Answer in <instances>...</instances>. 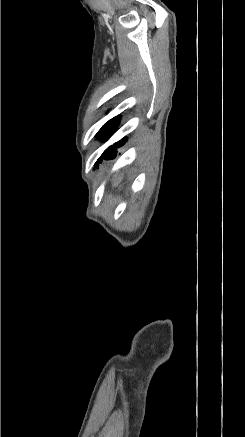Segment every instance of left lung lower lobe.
<instances>
[{
  "instance_id": "1",
  "label": "left lung lower lobe",
  "mask_w": 245,
  "mask_h": 437,
  "mask_svg": "<svg viewBox=\"0 0 245 437\" xmlns=\"http://www.w3.org/2000/svg\"><path fill=\"white\" fill-rule=\"evenodd\" d=\"M116 128H117V126H116ZM116 128L114 129V131L116 130ZM126 140H127V138L124 137L122 140H120V141L114 143L113 145L109 146L105 150V152L101 155V157L98 159V162H101L103 159L114 158L116 156V154H117V148L123 146L124 143L126 142ZM98 162H96V164H95L96 166H98Z\"/></svg>"
}]
</instances>
